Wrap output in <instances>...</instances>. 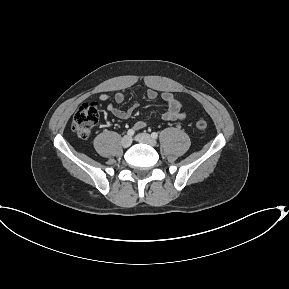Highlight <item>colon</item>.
<instances>
[{
    "label": "colon",
    "mask_w": 289,
    "mask_h": 289,
    "mask_svg": "<svg viewBox=\"0 0 289 289\" xmlns=\"http://www.w3.org/2000/svg\"><path fill=\"white\" fill-rule=\"evenodd\" d=\"M99 111L95 102H87L82 104L75 113L71 128L73 132L81 139H87L93 127L98 122ZM207 121L200 118L196 121L195 127L198 131L204 132L207 129Z\"/></svg>",
    "instance_id": "colon-1"
}]
</instances>
